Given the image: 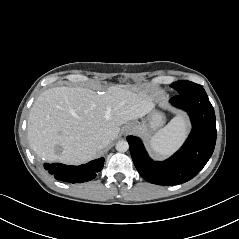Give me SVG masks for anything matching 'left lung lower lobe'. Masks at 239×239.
Wrapping results in <instances>:
<instances>
[{"instance_id": "1", "label": "left lung lower lobe", "mask_w": 239, "mask_h": 239, "mask_svg": "<svg viewBox=\"0 0 239 239\" xmlns=\"http://www.w3.org/2000/svg\"><path fill=\"white\" fill-rule=\"evenodd\" d=\"M170 103L190 116L192 131L173 156L163 162L153 161L141 140L128 136L130 153L140 175L157 185H177L195 177L210 159L216 143L214 109L203 88L178 94Z\"/></svg>"}]
</instances>
